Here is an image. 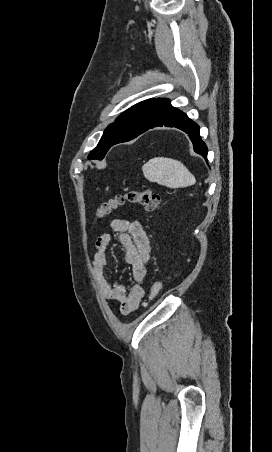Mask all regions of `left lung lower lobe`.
Instances as JSON below:
<instances>
[{
  "mask_svg": "<svg viewBox=\"0 0 272 452\" xmlns=\"http://www.w3.org/2000/svg\"><path fill=\"white\" fill-rule=\"evenodd\" d=\"M162 126L175 127V128H178V129L184 131L185 133H187L190 140L193 143L194 151L196 153L200 154L201 156H203L205 158V160H207L208 149H207L206 144L201 140V137L199 135V126L196 123H194L190 118H188V116L185 113H183L182 111L173 107L170 104V102H168L167 105L162 109V111L159 113L157 118L154 120L152 125L147 130L154 128V127H162ZM147 130H145V131H147ZM144 132H142V133H144ZM138 135H140V134H138ZM137 136H134L130 139H122V140L116 141L115 144L132 140V139L136 138Z\"/></svg>",
  "mask_w": 272,
  "mask_h": 452,
  "instance_id": "obj_1",
  "label": "left lung lower lobe"
}]
</instances>
